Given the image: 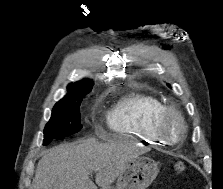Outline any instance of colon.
Instances as JSON below:
<instances>
[{
  "label": "colon",
  "instance_id": "5ec220e1",
  "mask_svg": "<svg viewBox=\"0 0 223 189\" xmlns=\"http://www.w3.org/2000/svg\"><path fill=\"white\" fill-rule=\"evenodd\" d=\"M186 165L183 161H176L173 164V170L176 174H183L186 172Z\"/></svg>",
  "mask_w": 223,
  "mask_h": 189
}]
</instances>
